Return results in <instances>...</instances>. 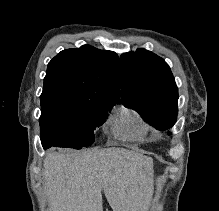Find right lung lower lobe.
Here are the masks:
<instances>
[{
	"mask_svg": "<svg viewBox=\"0 0 219 211\" xmlns=\"http://www.w3.org/2000/svg\"><path fill=\"white\" fill-rule=\"evenodd\" d=\"M42 146H43L44 149H48V148H50L49 145H43V144H42Z\"/></svg>",
	"mask_w": 219,
	"mask_h": 211,
	"instance_id": "obj_1",
	"label": "right lung lower lobe"
}]
</instances>
